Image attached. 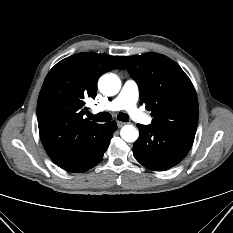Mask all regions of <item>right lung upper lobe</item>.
<instances>
[{"label": "right lung upper lobe", "mask_w": 233, "mask_h": 233, "mask_svg": "<svg viewBox=\"0 0 233 233\" xmlns=\"http://www.w3.org/2000/svg\"><path fill=\"white\" fill-rule=\"evenodd\" d=\"M124 69L119 56L82 52L58 62L41 88L37 119L42 144L59 167L86 163L102 124L84 119L85 99L95 98L99 77Z\"/></svg>", "instance_id": "obj_1"}]
</instances>
